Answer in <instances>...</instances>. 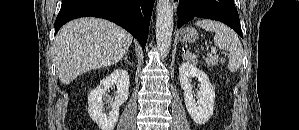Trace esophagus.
Returning <instances> with one entry per match:
<instances>
[{"mask_svg": "<svg viewBox=\"0 0 299 130\" xmlns=\"http://www.w3.org/2000/svg\"><path fill=\"white\" fill-rule=\"evenodd\" d=\"M171 2H172L173 9L176 12L177 11V7H178V1L177 0H172Z\"/></svg>", "mask_w": 299, "mask_h": 130, "instance_id": "34e87169", "label": "esophagus"}]
</instances>
